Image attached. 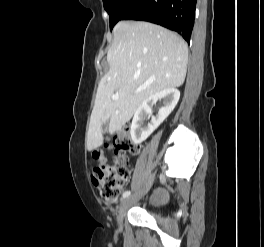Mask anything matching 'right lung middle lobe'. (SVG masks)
<instances>
[{
	"label": "right lung middle lobe",
	"mask_w": 264,
	"mask_h": 247,
	"mask_svg": "<svg viewBox=\"0 0 264 247\" xmlns=\"http://www.w3.org/2000/svg\"><path fill=\"white\" fill-rule=\"evenodd\" d=\"M133 0H103V5L107 13L109 14L110 29L120 21L121 16L128 5Z\"/></svg>",
	"instance_id": "dd1d6c3e"
}]
</instances>
